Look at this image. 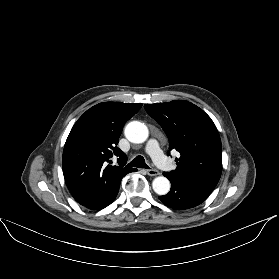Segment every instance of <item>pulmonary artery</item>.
<instances>
[{
  "label": "pulmonary artery",
  "mask_w": 279,
  "mask_h": 279,
  "mask_svg": "<svg viewBox=\"0 0 279 279\" xmlns=\"http://www.w3.org/2000/svg\"><path fill=\"white\" fill-rule=\"evenodd\" d=\"M145 152L153 159L155 164L165 171H170L173 166L172 164L166 159V157L163 155L159 142L156 139H151L146 147Z\"/></svg>",
  "instance_id": "1"
}]
</instances>
